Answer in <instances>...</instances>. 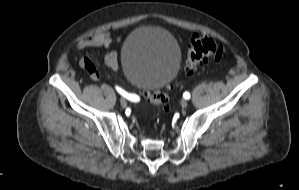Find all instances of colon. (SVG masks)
<instances>
[{
  "mask_svg": "<svg viewBox=\"0 0 299 190\" xmlns=\"http://www.w3.org/2000/svg\"><path fill=\"white\" fill-rule=\"evenodd\" d=\"M226 56L227 51L224 45L215 42L211 38L196 36L188 47L185 70L186 72H192L204 62L211 60L218 63L223 61ZM80 63L90 75L96 72L95 64L88 55H83ZM168 90L169 86H166L163 90H145L143 95L152 105L167 109Z\"/></svg>",
  "mask_w": 299,
  "mask_h": 190,
  "instance_id": "1",
  "label": "colon"
}]
</instances>
